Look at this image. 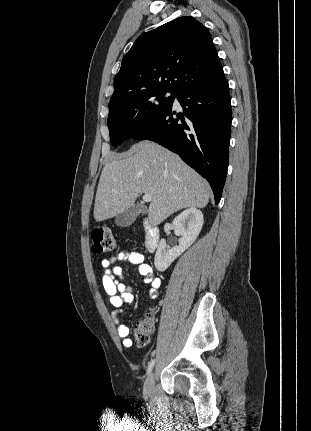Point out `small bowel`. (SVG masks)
<instances>
[{"mask_svg": "<svg viewBox=\"0 0 311 431\" xmlns=\"http://www.w3.org/2000/svg\"><path fill=\"white\" fill-rule=\"evenodd\" d=\"M128 261L137 266L138 273L144 277V281L150 284L149 294L152 298L157 297L160 280L154 276L152 267L146 262L144 256L138 252L121 251L117 255L109 259H104L101 262L102 266V285L109 296L111 305L116 309L113 312V319L117 326V332L122 339V344L125 347H130L132 341L129 338L130 329L121 324L118 320V314L123 312L124 304L131 305L134 301V296L130 286L123 282V269L117 265V262Z\"/></svg>", "mask_w": 311, "mask_h": 431, "instance_id": "1", "label": "small bowel"}]
</instances>
